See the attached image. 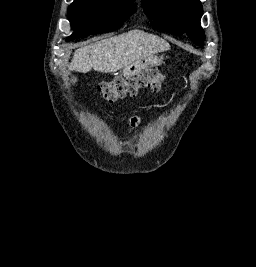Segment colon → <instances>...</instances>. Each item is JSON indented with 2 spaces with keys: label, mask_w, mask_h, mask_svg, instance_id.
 Masks as SVG:
<instances>
[{
  "label": "colon",
  "mask_w": 256,
  "mask_h": 267,
  "mask_svg": "<svg viewBox=\"0 0 256 267\" xmlns=\"http://www.w3.org/2000/svg\"><path fill=\"white\" fill-rule=\"evenodd\" d=\"M164 78L162 73L156 71H143L136 77H118L114 81L102 83L99 94L104 101L111 102L126 96H135L142 88L160 91Z\"/></svg>",
  "instance_id": "1"
}]
</instances>
